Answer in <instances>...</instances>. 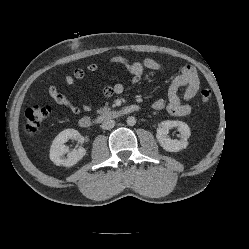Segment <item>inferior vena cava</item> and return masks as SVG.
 Listing matches in <instances>:
<instances>
[{
    "instance_id": "1",
    "label": "inferior vena cava",
    "mask_w": 249,
    "mask_h": 249,
    "mask_svg": "<svg viewBox=\"0 0 249 249\" xmlns=\"http://www.w3.org/2000/svg\"><path fill=\"white\" fill-rule=\"evenodd\" d=\"M115 126V121L114 120H106L102 123L101 128L104 130H109Z\"/></svg>"
}]
</instances>
